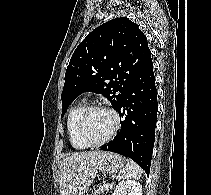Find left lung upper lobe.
Here are the masks:
<instances>
[{"label": "left lung upper lobe", "instance_id": "left-lung-upper-lobe-1", "mask_svg": "<svg viewBox=\"0 0 211 195\" xmlns=\"http://www.w3.org/2000/svg\"><path fill=\"white\" fill-rule=\"evenodd\" d=\"M151 60L146 36L128 18H116L95 28L70 59L61 95L62 116L84 92L102 94L118 109Z\"/></svg>", "mask_w": 211, "mask_h": 195}]
</instances>
